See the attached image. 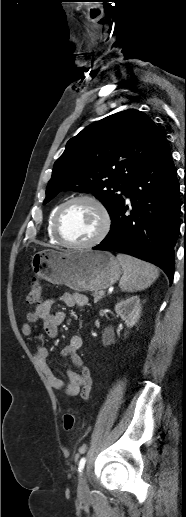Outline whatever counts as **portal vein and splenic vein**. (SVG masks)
Listing matches in <instances>:
<instances>
[{"instance_id": "portal-vein-and-splenic-vein-1", "label": "portal vein and splenic vein", "mask_w": 186, "mask_h": 517, "mask_svg": "<svg viewBox=\"0 0 186 517\" xmlns=\"http://www.w3.org/2000/svg\"><path fill=\"white\" fill-rule=\"evenodd\" d=\"M99 293H100V295H104V294H105V292H104V291H100Z\"/></svg>"}]
</instances>
